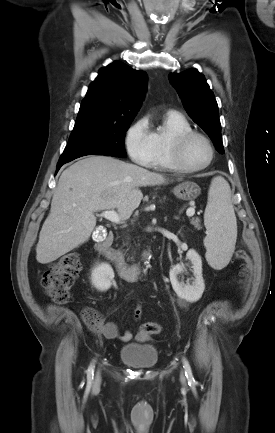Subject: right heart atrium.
Segmentation results:
<instances>
[{
	"mask_svg": "<svg viewBox=\"0 0 275 433\" xmlns=\"http://www.w3.org/2000/svg\"><path fill=\"white\" fill-rule=\"evenodd\" d=\"M125 146L133 162L149 166L153 148L151 130L146 117L139 118L127 129Z\"/></svg>",
	"mask_w": 275,
	"mask_h": 433,
	"instance_id": "d8ad5b80",
	"label": "right heart atrium"
}]
</instances>
